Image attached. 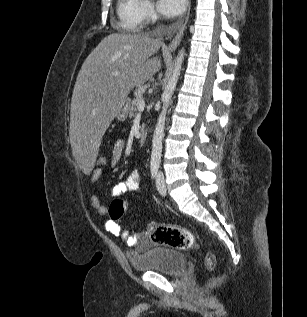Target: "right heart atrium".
I'll list each match as a JSON object with an SVG mask.
<instances>
[{"mask_svg": "<svg viewBox=\"0 0 307 317\" xmlns=\"http://www.w3.org/2000/svg\"><path fill=\"white\" fill-rule=\"evenodd\" d=\"M141 13L144 22H151L157 17L154 5L149 0L142 1Z\"/></svg>", "mask_w": 307, "mask_h": 317, "instance_id": "right-heart-atrium-1", "label": "right heart atrium"}]
</instances>
